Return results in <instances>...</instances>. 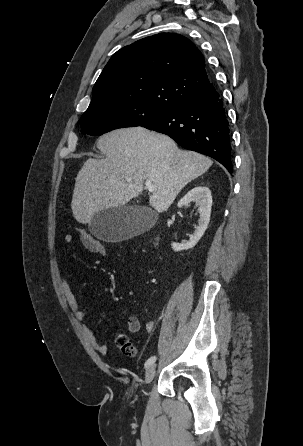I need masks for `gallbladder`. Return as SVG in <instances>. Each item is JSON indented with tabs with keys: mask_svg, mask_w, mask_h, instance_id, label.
I'll return each mask as SVG.
<instances>
[{
	"mask_svg": "<svg viewBox=\"0 0 303 446\" xmlns=\"http://www.w3.org/2000/svg\"><path fill=\"white\" fill-rule=\"evenodd\" d=\"M155 213L139 206H120L94 215L89 230L105 241H120L146 231L154 222Z\"/></svg>",
	"mask_w": 303,
	"mask_h": 446,
	"instance_id": "gallbladder-1",
	"label": "gallbladder"
}]
</instances>
